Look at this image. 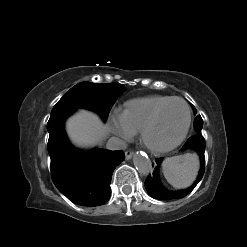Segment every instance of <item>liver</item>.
Returning <instances> with one entry per match:
<instances>
[{
	"instance_id": "6515ba94",
	"label": "liver",
	"mask_w": 247,
	"mask_h": 247,
	"mask_svg": "<svg viewBox=\"0 0 247 247\" xmlns=\"http://www.w3.org/2000/svg\"><path fill=\"white\" fill-rule=\"evenodd\" d=\"M66 131L76 146L90 147L104 139L107 127L103 125L96 114L80 110L67 120Z\"/></svg>"
}]
</instances>
